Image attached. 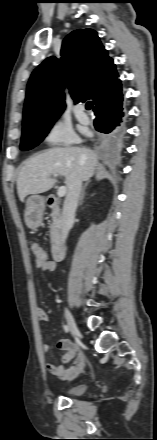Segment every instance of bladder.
<instances>
[{"label": "bladder", "instance_id": "obj_1", "mask_svg": "<svg viewBox=\"0 0 157 440\" xmlns=\"http://www.w3.org/2000/svg\"><path fill=\"white\" fill-rule=\"evenodd\" d=\"M88 389L87 385H78L74 387H69L64 390V394L69 397H77L82 395Z\"/></svg>", "mask_w": 157, "mask_h": 440}]
</instances>
